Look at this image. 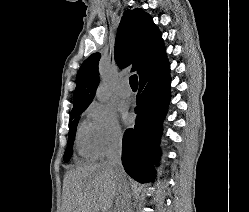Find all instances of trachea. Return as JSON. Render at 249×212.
<instances>
[{"label":"trachea","instance_id":"3493384b","mask_svg":"<svg viewBox=\"0 0 249 212\" xmlns=\"http://www.w3.org/2000/svg\"><path fill=\"white\" fill-rule=\"evenodd\" d=\"M129 83L132 88H137L138 86L137 75H131V77L129 78Z\"/></svg>","mask_w":249,"mask_h":212}]
</instances>
